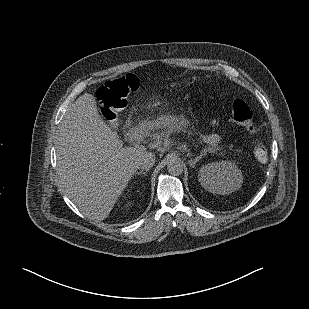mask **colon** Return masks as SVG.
<instances>
[{
  "instance_id": "1",
  "label": "colon",
  "mask_w": 309,
  "mask_h": 309,
  "mask_svg": "<svg viewBox=\"0 0 309 309\" xmlns=\"http://www.w3.org/2000/svg\"><path fill=\"white\" fill-rule=\"evenodd\" d=\"M140 85L139 78L134 74H126L105 82L96 94L101 112L108 120L116 118L127 106L130 95L137 91ZM213 119L219 120L218 117H213ZM228 120L242 126L248 134H256L252 112L244 100L237 99L234 101ZM254 154L261 162L268 158L267 148L263 143L256 144Z\"/></svg>"
}]
</instances>
